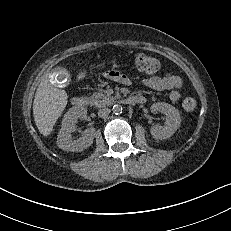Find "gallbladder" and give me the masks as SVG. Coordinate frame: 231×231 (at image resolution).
Returning a JSON list of instances; mask_svg holds the SVG:
<instances>
[{
	"instance_id": "gallbladder-1",
	"label": "gallbladder",
	"mask_w": 231,
	"mask_h": 231,
	"mask_svg": "<svg viewBox=\"0 0 231 231\" xmlns=\"http://www.w3.org/2000/svg\"><path fill=\"white\" fill-rule=\"evenodd\" d=\"M49 80L55 87H65L70 82V73L65 68H54L49 73Z\"/></svg>"
}]
</instances>
